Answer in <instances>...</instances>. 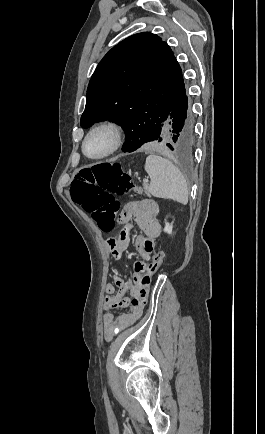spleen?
<instances>
[{
    "instance_id": "spleen-1",
    "label": "spleen",
    "mask_w": 265,
    "mask_h": 434,
    "mask_svg": "<svg viewBox=\"0 0 265 434\" xmlns=\"http://www.w3.org/2000/svg\"><path fill=\"white\" fill-rule=\"evenodd\" d=\"M151 178L149 192L154 198L174 200L180 204H188V188L184 176L173 162L151 154L146 158L144 166Z\"/></svg>"
}]
</instances>
